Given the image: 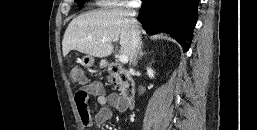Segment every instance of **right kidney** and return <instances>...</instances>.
<instances>
[{"label":"right kidney","instance_id":"ca27d5eb","mask_svg":"<svg viewBox=\"0 0 257 130\" xmlns=\"http://www.w3.org/2000/svg\"><path fill=\"white\" fill-rule=\"evenodd\" d=\"M147 74L150 78H154V71L151 68H147Z\"/></svg>","mask_w":257,"mask_h":130}]
</instances>
